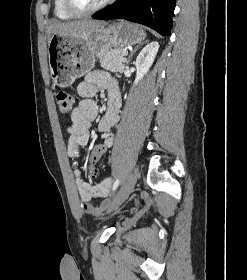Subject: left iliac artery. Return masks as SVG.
Here are the masks:
<instances>
[{"instance_id":"44dca946","label":"left iliac artery","mask_w":247,"mask_h":280,"mask_svg":"<svg viewBox=\"0 0 247 280\" xmlns=\"http://www.w3.org/2000/svg\"><path fill=\"white\" fill-rule=\"evenodd\" d=\"M118 186H119V179H116V181L113 184V191H115Z\"/></svg>"}]
</instances>
